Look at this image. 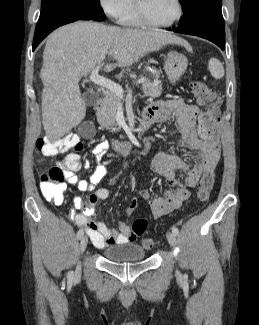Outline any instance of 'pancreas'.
I'll return each instance as SVG.
<instances>
[{
  "label": "pancreas",
  "mask_w": 259,
  "mask_h": 325,
  "mask_svg": "<svg viewBox=\"0 0 259 325\" xmlns=\"http://www.w3.org/2000/svg\"><path fill=\"white\" fill-rule=\"evenodd\" d=\"M142 90L145 96L148 97H158L162 93V83L159 80V72L156 71L154 74V81L150 79H146L142 85ZM120 104L119 97L109 91L106 93L105 97L103 98L100 107L97 109L96 116L98 123L106 128L109 129L111 132L115 133L120 130L119 127L116 126V114Z\"/></svg>",
  "instance_id": "obj_1"
}]
</instances>
